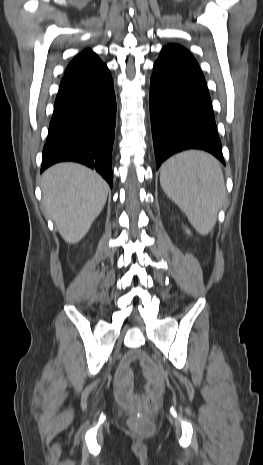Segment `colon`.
Returning a JSON list of instances; mask_svg holds the SVG:
<instances>
[{"label": "colon", "instance_id": "5ec220e1", "mask_svg": "<svg viewBox=\"0 0 263 465\" xmlns=\"http://www.w3.org/2000/svg\"><path fill=\"white\" fill-rule=\"evenodd\" d=\"M161 392L159 383L152 382L146 386V394L138 397L136 400L128 404L134 415L130 419L132 428L140 432H148L152 428V424L148 419V415L156 410V400Z\"/></svg>", "mask_w": 263, "mask_h": 465}]
</instances>
